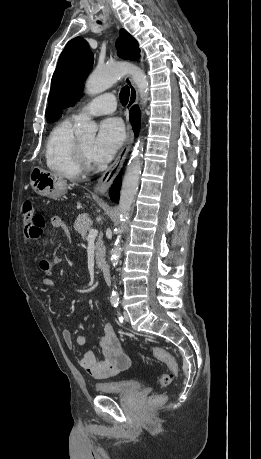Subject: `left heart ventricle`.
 <instances>
[{
  "label": "left heart ventricle",
  "instance_id": "left-heart-ventricle-1",
  "mask_svg": "<svg viewBox=\"0 0 261 459\" xmlns=\"http://www.w3.org/2000/svg\"><path fill=\"white\" fill-rule=\"evenodd\" d=\"M83 148L85 149L86 153L91 157V152L94 144V138L93 137H85L79 139Z\"/></svg>",
  "mask_w": 261,
  "mask_h": 459
}]
</instances>
